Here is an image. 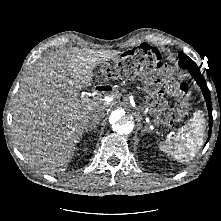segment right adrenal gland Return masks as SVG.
Here are the masks:
<instances>
[{
    "instance_id": "right-adrenal-gland-1",
    "label": "right adrenal gland",
    "mask_w": 221,
    "mask_h": 221,
    "mask_svg": "<svg viewBox=\"0 0 221 221\" xmlns=\"http://www.w3.org/2000/svg\"><path fill=\"white\" fill-rule=\"evenodd\" d=\"M95 131L96 130V125H93V126H89L88 129H86V133H88L89 131Z\"/></svg>"
}]
</instances>
